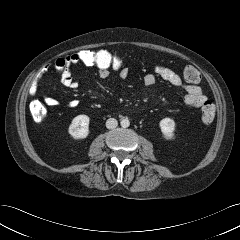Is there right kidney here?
Returning <instances> with one entry per match:
<instances>
[{"mask_svg": "<svg viewBox=\"0 0 240 240\" xmlns=\"http://www.w3.org/2000/svg\"><path fill=\"white\" fill-rule=\"evenodd\" d=\"M89 121L87 115L76 116L68 128V133L76 140L85 139L89 135Z\"/></svg>", "mask_w": 240, "mask_h": 240, "instance_id": "right-kidney-1", "label": "right kidney"}]
</instances>
